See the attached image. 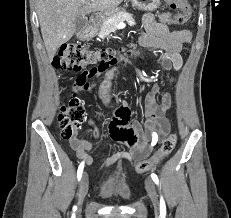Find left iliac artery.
Returning <instances> with one entry per match:
<instances>
[{"label":"left iliac artery","mask_w":231,"mask_h":218,"mask_svg":"<svg viewBox=\"0 0 231 218\" xmlns=\"http://www.w3.org/2000/svg\"><path fill=\"white\" fill-rule=\"evenodd\" d=\"M153 138H152V143H151V146H154L157 141H158V135L153 132ZM151 178L153 179V181L156 183V184H159V180H158V177L156 174H151ZM160 213L162 214H165L166 213V206H165V202L163 200V198L161 197L160 199Z\"/></svg>","instance_id":"left-iliac-artery-1"}]
</instances>
